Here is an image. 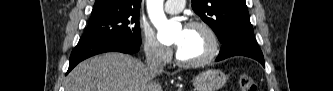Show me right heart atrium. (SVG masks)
Returning a JSON list of instances; mask_svg holds the SVG:
<instances>
[{"mask_svg":"<svg viewBox=\"0 0 333 91\" xmlns=\"http://www.w3.org/2000/svg\"><path fill=\"white\" fill-rule=\"evenodd\" d=\"M141 43L146 57L157 63H166L172 56L170 47L161 43L153 31L147 26H141Z\"/></svg>","mask_w":333,"mask_h":91,"instance_id":"obj_1","label":"right heart atrium"}]
</instances>
